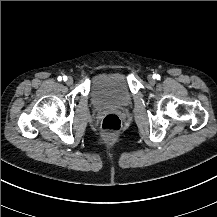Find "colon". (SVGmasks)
<instances>
[{
    "instance_id": "colon-1",
    "label": "colon",
    "mask_w": 217,
    "mask_h": 217,
    "mask_svg": "<svg viewBox=\"0 0 217 217\" xmlns=\"http://www.w3.org/2000/svg\"><path fill=\"white\" fill-rule=\"evenodd\" d=\"M122 127L121 120L116 113L107 114L102 121V129L104 134L111 138L119 132Z\"/></svg>"
}]
</instances>
